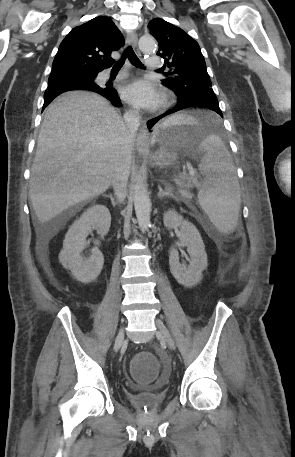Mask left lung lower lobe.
Returning a JSON list of instances; mask_svg holds the SVG:
<instances>
[{
  "instance_id": "obj_1",
  "label": "left lung lower lobe",
  "mask_w": 295,
  "mask_h": 457,
  "mask_svg": "<svg viewBox=\"0 0 295 457\" xmlns=\"http://www.w3.org/2000/svg\"><path fill=\"white\" fill-rule=\"evenodd\" d=\"M195 106L209 108V109L215 111L216 113H218L222 117V112H221V110L219 108V103H218V100H217L216 96H214V95H205V96H202V97H191V98H189L187 100L179 101V106L178 107H176L175 109L167 111L166 113L162 114L161 116H159L157 118L149 120L147 125H148L149 128H151L157 121H159L165 115L174 113L176 111H179V110H182V109H185V108H188V107H195Z\"/></svg>"
}]
</instances>
